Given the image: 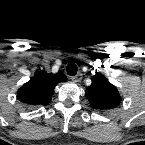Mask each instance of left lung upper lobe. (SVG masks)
I'll use <instances>...</instances> for the list:
<instances>
[{
  "label": "left lung upper lobe",
  "mask_w": 145,
  "mask_h": 145,
  "mask_svg": "<svg viewBox=\"0 0 145 145\" xmlns=\"http://www.w3.org/2000/svg\"><path fill=\"white\" fill-rule=\"evenodd\" d=\"M86 96L91 107L99 110L113 109L121 102V96L116 87L102 74L92 77V84L86 89Z\"/></svg>",
  "instance_id": "left-lung-upper-lobe-1"
}]
</instances>
